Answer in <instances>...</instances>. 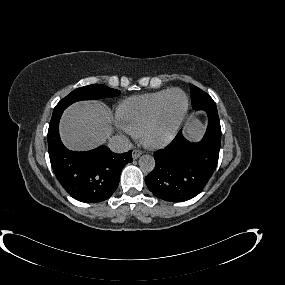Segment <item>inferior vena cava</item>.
<instances>
[{
  "mask_svg": "<svg viewBox=\"0 0 285 285\" xmlns=\"http://www.w3.org/2000/svg\"><path fill=\"white\" fill-rule=\"evenodd\" d=\"M108 147L115 153H124L132 148V143L124 135H116L109 139Z\"/></svg>",
  "mask_w": 285,
  "mask_h": 285,
  "instance_id": "inferior-vena-cava-1",
  "label": "inferior vena cava"
}]
</instances>
